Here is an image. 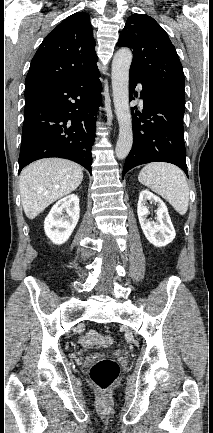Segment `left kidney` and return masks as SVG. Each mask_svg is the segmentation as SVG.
I'll use <instances>...</instances> for the list:
<instances>
[{"label":"left kidney","instance_id":"1","mask_svg":"<svg viewBox=\"0 0 213 433\" xmlns=\"http://www.w3.org/2000/svg\"><path fill=\"white\" fill-rule=\"evenodd\" d=\"M147 200L157 205L156 222L147 219L149 210L146 206ZM138 219L147 240L156 247L168 245L176 236L175 229L171 222L168 209L165 203L148 190L141 191L137 205Z\"/></svg>","mask_w":213,"mask_h":433}]
</instances>
